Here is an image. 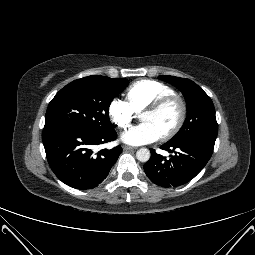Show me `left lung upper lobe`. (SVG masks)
Masks as SVG:
<instances>
[{
    "mask_svg": "<svg viewBox=\"0 0 255 255\" xmlns=\"http://www.w3.org/2000/svg\"><path fill=\"white\" fill-rule=\"evenodd\" d=\"M159 78L177 87L187 103V118L179 132L168 142L172 144L204 142L214 145L218 124L210 97L189 79L165 75Z\"/></svg>",
    "mask_w": 255,
    "mask_h": 255,
    "instance_id": "left-lung-upper-lobe-1",
    "label": "left lung upper lobe"
}]
</instances>
